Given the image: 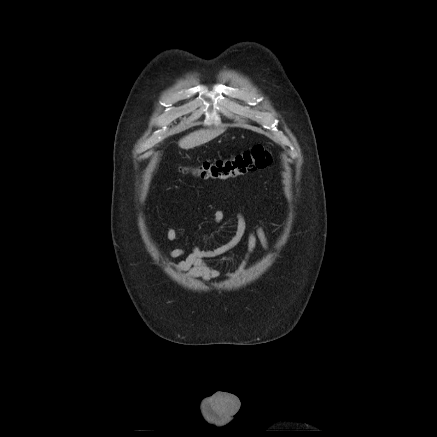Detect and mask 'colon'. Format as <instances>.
<instances>
[{"label": "colon", "instance_id": "1", "mask_svg": "<svg viewBox=\"0 0 437 437\" xmlns=\"http://www.w3.org/2000/svg\"><path fill=\"white\" fill-rule=\"evenodd\" d=\"M271 160L269 151L262 145H256L232 159L206 161L184 170L202 179L227 180L263 169Z\"/></svg>", "mask_w": 437, "mask_h": 437}]
</instances>
